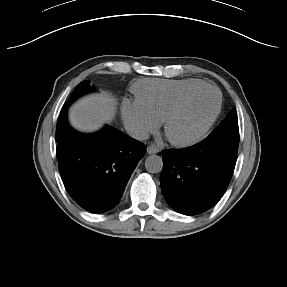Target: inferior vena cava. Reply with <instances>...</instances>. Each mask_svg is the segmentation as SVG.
I'll return each mask as SVG.
<instances>
[{
    "mask_svg": "<svg viewBox=\"0 0 287 287\" xmlns=\"http://www.w3.org/2000/svg\"><path fill=\"white\" fill-rule=\"evenodd\" d=\"M124 128L127 134L134 139L146 140L149 138L148 131L143 126L137 123L128 122L124 125Z\"/></svg>",
    "mask_w": 287,
    "mask_h": 287,
    "instance_id": "602c4592",
    "label": "inferior vena cava"
}]
</instances>
